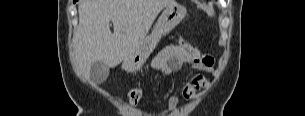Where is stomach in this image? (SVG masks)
<instances>
[{"label": "stomach", "mask_w": 305, "mask_h": 116, "mask_svg": "<svg viewBox=\"0 0 305 116\" xmlns=\"http://www.w3.org/2000/svg\"><path fill=\"white\" fill-rule=\"evenodd\" d=\"M182 5L168 6L160 15L154 29L122 63L127 72L139 70L149 55L154 51L162 36L172 31L186 16Z\"/></svg>", "instance_id": "obj_1"}]
</instances>
